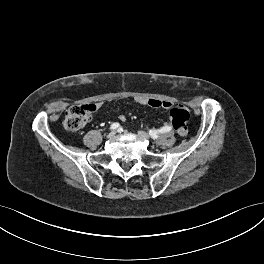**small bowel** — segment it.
Segmentation results:
<instances>
[{"mask_svg": "<svg viewBox=\"0 0 264 264\" xmlns=\"http://www.w3.org/2000/svg\"><path fill=\"white\" fill-rule=\"evenodd\" d=\"M136 101L139 104L151 106V107H154V108L169 109L173 105L169 101H161V100H158V99H150V98H143V97L137 98ZM93 105L96 107V109L101 106V104H99V103L93 104ZM119 118H120L121 121H124L125 120V116L124 115H120Z\"/></svg>", "mask_w": 264, "mask_h": 264, "instance_id": "obj_1", "label": "small bowel"}]
</instances>
